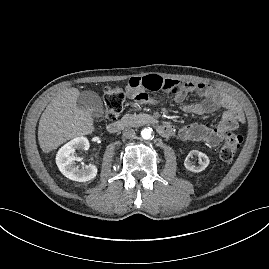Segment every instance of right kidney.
I'll return each mask as SVG.
<instances>
[{
  "mask_svg": "<svg viewBox=\"0 0 269 269\" xmlns=\"http://www.w3.org/2000/svg\"><path fill=\"white\" fill-rule=\"evenodd\" d=\"M89 140L86 137H76L66 143L57 153L56 164L61 173L73 181L86 182L92 180L97 175L95 165H86L79 167L76 161L79 157L75 156L76 150H88Z\"/></svg>",
  "mask_w": 269,
  "mask_h": 269,
  "instance_id": "right-kidney-1",
  "label": "right kidney"
}]
</instances>
